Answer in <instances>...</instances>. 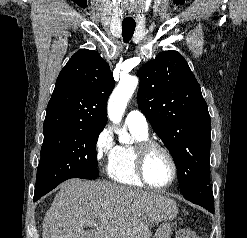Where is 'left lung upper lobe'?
Wrapping results in <instances>:
<instances>
[{"instance_id": "obj_1", "label": "left lung upper lobe", "mask_w": 247, "mask_h": 238, "mask_svg": "<svg viewBox=\"0 0 247 238\" xmlns=\"http://www.w3.org/2000/svg\"><path fill=\"white\" fill-rule=\"evenodd\" d=\"M138 76V105L174 159L184 198L214 212L210 116L188 63L177 51H163Z\"/></svg>"}]
</instances>
